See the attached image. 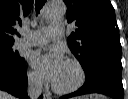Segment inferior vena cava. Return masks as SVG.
<instances>
[{"mask_svg": "<svg viewBox=\"0 0 128 99\" xmlns=\"http://www.w3.org/2000/svg\"><path fill=\"white\" fill-rule=\"evenodd\" d=\"M43 82L40 78L29 77L28 79V95L31 99H37L42 92Z\"/></svg>", "mask_w": 128, "mask_h": 99, "instance_id": "1", "label": "inferior vena cava"}]
</instances>
